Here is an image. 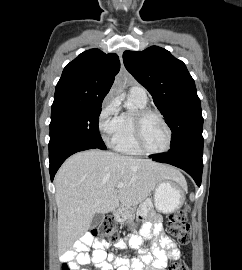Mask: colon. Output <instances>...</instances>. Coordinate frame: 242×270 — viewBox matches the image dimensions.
I'll return each instance as SVG.
<instances>
[{
  "label": "colon",
  "instance_id": "obj_1",
  "mask_svg": "<svg viewBox=\"0 0 242 270\" xmlns=\"http://www.w3.org/2000/svg\"><path fill=\"white\" fill-rule=\"evenodd\" d=\"M189 208L183 206L176 210L168 221L169 235L182 245L190 243L191 232L190 225L187 223ZM89 235L97 241H115L118 236L117 226L113 218L105 219L97 229L92 230ZM60 270H69L66 265H61ZM169 270H190V267L183 262H174L170 265Z\"/></svg>",
  "mask_w": 242,
  "mask_h": 270
}]
</instances>
